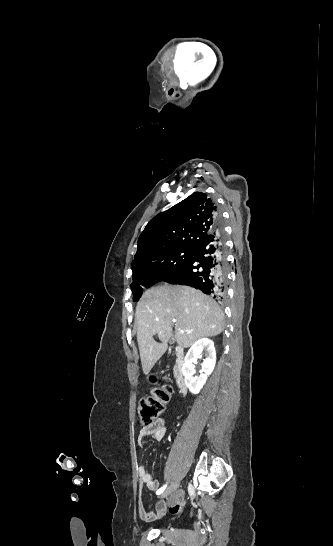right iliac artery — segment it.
<instances>
[{
  "mask_svg": "<svg viewBox=\"0 0 333 546\" xmlns=\"http://www.w3.org/2000/svg\"><path fill=\"white\" fill-rule=\"evenodd\" d=\"M167 487V484L162 486L160 489L157 490L156 494L159 495V494H162L164 492V490L166 489Z\"/></svg>",
  "mask_w": 333,
  "mask_h": 546,
  "instance_id": "1",
  "label": "right iliac artery"
}]
</instances>
